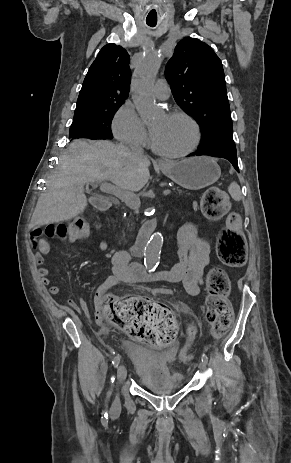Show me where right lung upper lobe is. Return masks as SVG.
Here are the masks:
<instances>
[{"mask_svg":"<svg viewBox=\"0 0 291 463\" xmlns=\"http://www.w3.org/2000/svg\"><path fill=\"white\" fill-rule=\"evenodd\" d=\"M129 60L127 51L113 43L100 50L84 79L74 116L96 110L109 101L124 102L131 81Z\"/></svg>","mask_w":291,"mask_h":463,"instance_id":"cb5924a9","label":"right lung upper lobe"}]
</instances>
